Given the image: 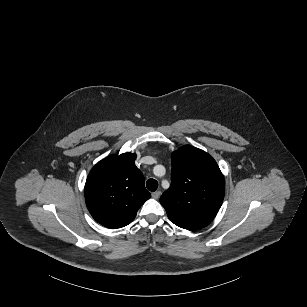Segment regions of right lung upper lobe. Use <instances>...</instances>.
I'll use <instances>...</instances> for the list:
<instances>
[{"instance_id": "cb5924a9", "label": "right lung upper lobe", "mask_w": 307, "mask_h": 307, "mask_svg": "<svg viewBox=\"0 0 307 307\" xmlns=\"http://www.w3.org/2000/svg\"><path fill=\"white\" fill-rule=\"evenodd\" d=\"M136 155L109 156L90 171L85 184L86 205L101 225L116 229L131 223L150 193L136 167Z\"/></svg>"}]
</instances>
